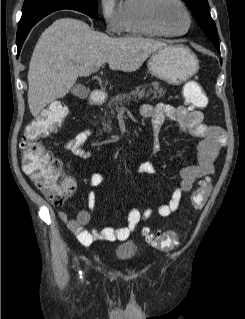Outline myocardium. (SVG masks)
<instances>
[{"instance_id":"obj_1","label":"myocardium","mask_w":245,"mask_h":319,"mask_svg":"<svg viewBox=\"0 0 245 319\" xmlns=\"http://www.w3.org/2000/svg\"><path fill=\"white\" fill-rule=\"evenodd\" d=\"M167 1L176 3L185 12L186 17H187V27L184 31H181V32L171 31L161 21V19L159 17V8L161 7V5L164 2H167ZM146 17H147L149 24L153 28H155L156 30H158L159 32H161L163 35H166V36H172V37L182 36V35L186 34L192 26L191 13H190L188 7L184 4V2L182 0H149V3L146 6Z\"/></svg>"}]
</instances>
